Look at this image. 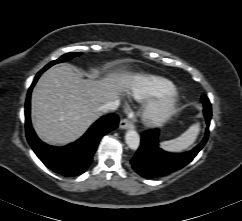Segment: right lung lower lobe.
Here are the masks:
<instances>
[{
	"label": "right lung lower lobe",
	"mask_w": 242,
	"mask_h": 221,
	"mask_svg": "<svg viewBox=\"0 0 242 221\" xmlns=\"http://www.w3.org/2000/svg\"><path fill=\"white\" fill-rule=\"evenodd\" d=\"M36 75L30 86L25 103V128L27 140L40 158L51 170L66 177L78 176L84 173L92 162V157L100 138L118 126L116 114L105 115L96 121L89 130L76 142L65 147H52L43 143L36 136L30 121V96L33 86L43 73Z\"/></svg>",
	"instance_id": "1"
}]
</instances>
